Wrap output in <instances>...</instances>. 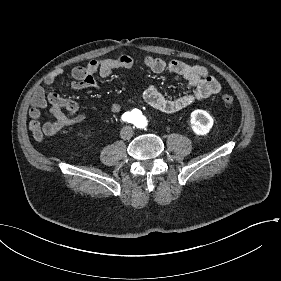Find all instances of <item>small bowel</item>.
<instances>
[{"label":"small bowel","instance_id":"obj_1","mask_svg":"<svg viewBox=\"0 0 281 281\" xmlns=\"http://www.w3.org/2000/svg\"><path fill=\"white\" fill-rule=\"evenodd\" d=\"M143 64L154 73H170L183 77L186 80V92L175 98L163 95L156 87H147L143 92L144 101L153 109L166 114L177 115L193 104L205 100L219 93L220 82L210 75L208 69L202 65L189 64L180 60H163L154 56H145ZM135 66V60L129 55H121L114 58L91 60L84 66H76L72 69L73 81L71 87L75 90L85 88H98L95 75L108 77L115 69L130 70ZM62 69L54 70L46 79L45 85H52L62 73ZM50 107V113L54 120L42 123L41 110ZM121 105L113 102L109 106L110 114H118ZM31 118L29 128L32 138L40 141L44 136H54L64 128L79 124L83 121V114L79 113L78 103L70 98L63 97L56 92H46L42 87L38 88L33 96L32 106L29 110Z\"/></svg>","mask_w":281,"mask_h":281}]
</instances>
